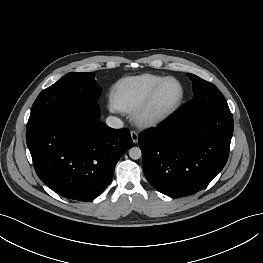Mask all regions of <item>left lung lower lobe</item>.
<instances>
[{
  "instance_id": "1",
  "label": "left lung lower lobe",
  "mask_w": 263,
  "mask_h": 263,
  "mask_svg": "<svg viewBox=\"0 0 263 263\" xmlns=\"http://www.w3.org/2000/svg\"><path fill=\"white\" fill-rule=\"evenodd\" d=\"M232 135L231 112L184 120L177 111L157 128L140 133L144 174L165 195L198 192L225 166Z\"/></svg>"
}]
</instances>
